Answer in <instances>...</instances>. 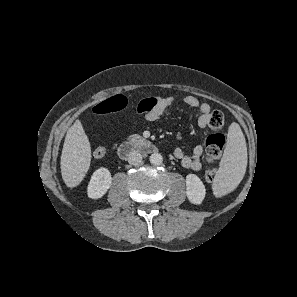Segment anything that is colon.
<instances>
[{"label": "colon", "instance_id": "1", "mask_svg": "<svg viewBox=\"0 0 297 297\" xmlns=\"http://www.w3.org/2000/svg\"><path fill=\"white\" fill-rule=\"evenodd\" d=\"M165 97H153L141 100L137 105L138 113H145L159 100ZM127 98L122 95H114L99 104L95 105L93 112L97 115H105L116 113L124 110L127 106ZM224 125V116L220 111H213L208 117V126L212 130L205 141L206 161L208 167L205 171V179L207 182L212 183L216 175L215 164L222 154L225 144V137L221 133ZM106 151L103 147H97L93 154L96 158H101L105 155Z\"/></svg>", "mask_w": 297, "mask_h": 297}]
</instances>
